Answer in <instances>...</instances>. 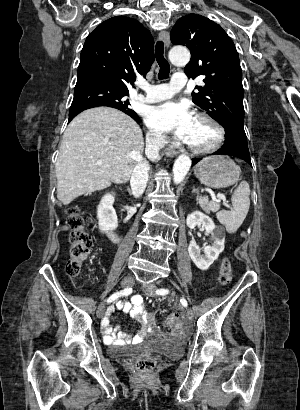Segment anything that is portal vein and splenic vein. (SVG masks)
I'll return each mask as SVG.
<instances>
[{
    "mask_svg": "<svg viewBox=\"0 0 300 410\" xmlns=\"http://www.w3.org/2000/svg\"><path fill=\"white\" fill-rule=\"evenodd\" d=\"M103 162L101 161V160H99V161H97V164H102ZM217 199H219V200H224L225 199V196H224V194H217Z\"/></svg>",
    "mask_w": 300,
    "mask_h": 410,
    "instance_id": "18ae733b",
    "label": "portal vein and splenic vein"
}]
</instances>
